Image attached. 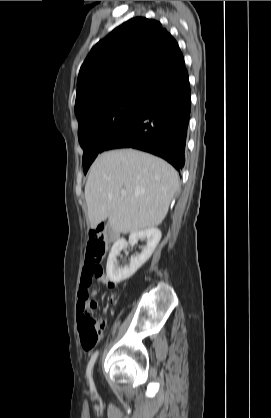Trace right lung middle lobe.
Segmentation results:
<instances>
[{"label":"right lung middle lobe","mask_w":271,"mask_h":418,"mask_svg":"<svg viewBox=\"0 0 271 418\" xmlns=\"http://www.w3.org/2000/svg\"><path fill=\"white\" fill-rule=\"evenodd\" d=\"M149 100L136 94H121L76 113L85 174L109 135Z\"/></svg>","instance_id":"obj_1"}]
</instances>
